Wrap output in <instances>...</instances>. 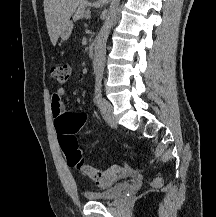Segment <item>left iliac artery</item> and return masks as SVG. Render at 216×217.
<instances>
[{
    "label": "left iliac artery",
    "mask_w": 216,
    "mask_h": 217,
    "mask_svg": "<svg viewBox=\"0 0 216 217\" xmlns=\"http://www.w3.org/2000/svg\"><path fill=\"white\" fill-rule=\"evenodd\" d=\"M95 100H96L97 105H100L102 101V76L101 75L96 76Z\"/></svg>",
    "instance_id": "1"
}]
</instances>
